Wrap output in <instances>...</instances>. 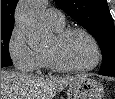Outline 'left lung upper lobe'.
Returning <instances> with one entry per match:
<instances>
[{
  "label": "left lung upper lobe",
  "mask_w": 115,
  "mask_h": 99,
  "mask_svg": "<svg viewBox=\"0 0 115 99\" xmlns=\"http://www.w3.org/2000/svg\"><path fill=\"white\" fill-rule=\"evenodd\" d=\"M97 40L102 52L101 75L115 74V27L106 0H55Z\"/></svg>",
  "instance_id": "obj_1"
}]
</instances>
